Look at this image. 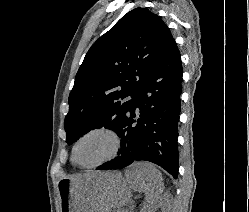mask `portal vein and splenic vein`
<instances>
[{"label": "portal vein and splenic vein", "mask_w": 249, "mask_h": 212, "mask_svg": "<svg viewBox=\"0 0 249 212\" xmlns=\"http://www.w3.org/2000/svg\"><path fill=\"white\" fill-rule=\"evenodd\" d=\"M122 212H127V210H122Z\"/></svg>", "instance_id": "1"}]
</instances>
